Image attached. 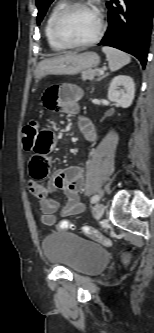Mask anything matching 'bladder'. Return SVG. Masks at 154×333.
I'll use <instances>...</instances> for the list:
<instances>
[{
	"label": "bladder",
	"mask_w": 154,
	"mask_h": 333,
	"mask_svg": "<svg viewBox=\"0 0 154 333\" xmlns=\"http://www.w3.org/2000/svg\"><path fill=\"white\" fill-rule=\"evenodd\" d=\"M41 247L49 263L75 274L99 273L108 259V251L102 245L67 231L46 236Z\"/></svg>",
	"instance_id": "31cf9c89"
}]
</instances>
